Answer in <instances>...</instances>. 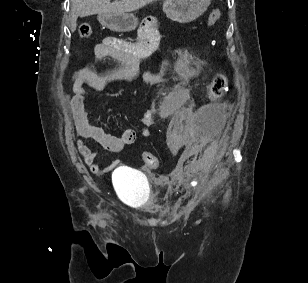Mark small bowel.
<instances>
[{
    "instance_id": "1",
    "label": "small bowel",
    "mask_w": 308,
    "mask_h": 283,
    "mask_svg": "<svg viewBox=\"0 0 308 283\" xmlns=\"http://www.w3.org/2000/svg\"><path fill=\"white\" fill-rule=\"evenodd\" d=\"M138 35L139 40L135 43L107 37L94 47L96 58H110L118 63V67L103 74L98 73L93 67H82L72 77L74 95L70 99V107L79 136L76 140V146L85 164L89 166L94 174H105L111 171L118 162L113 161L106 166L96 163L98 153L89 144L85 143L84 139L93 140L103 149L117 153L127 145L134 143L136 132L127 128L119 136H115L92 124L86 110L88 92L84 86L102 91L114 83L131 81L138 77L150 84L161 82L159 75L140 70V61L151 55L160 43L161 35L158 32L156 20L153 18L145 20L139 28ZM187 99L188 93L184 90L167 94L158 105L159 117L164 119L175 113ZM152 123L153 111L146 109L140 118V133L142 136H150Z\"/></svg>"
}]
</instances>
